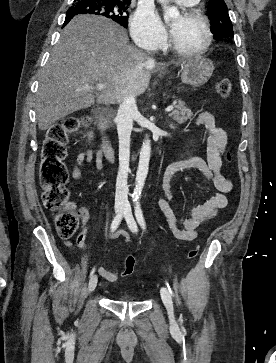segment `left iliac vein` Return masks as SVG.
I'll return each mask as SVG.
<instances>
[{"instance_id": "left-iliac-vein-1", "label": "left iliac vein", "mask_w": 276, "mask_h": 363, "mask_svg": "<svg viewBox=\"0 0 276 363\" xmlns=\"http://www.w3.org/2000/svg\"><path fill=\"white\" fill-rule=\"evenodd\" d=\"M127 224L129 226V229L133 232L136 233L137 232V225H136V221L132 215L131 209L128 208L126 210V213L124 215ZM160 294H161V298L162 301L168 311L169 317L172 321H174V313H173V302H172V298L171 295L168 291V289L166 287H162L160 290Z\"/></svg>"}]
</instances>
